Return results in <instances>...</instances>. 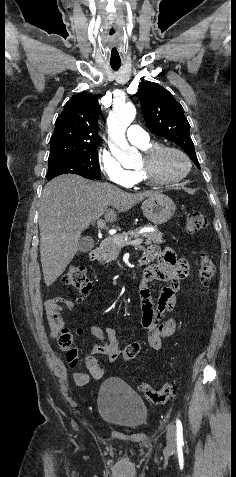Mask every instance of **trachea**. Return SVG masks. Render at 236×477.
Segmentation results:
<instances>
[{
  "mask_svg": "<svg viewBox=\"0 0 236 477\" xmlns=\"http://www.w3.org/2000/svg\"><path fill=\"white\" fill-rule=\"evenodd\" d=\"M111 68L117 71L121 67V63H111Z\"/></svg>",
  "mask_w": 236,
  "mask_h": 477,
  "instance_id": "3493384b",
  "label": "trachea"
}]
</instances>
